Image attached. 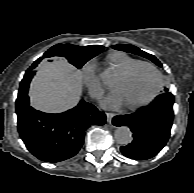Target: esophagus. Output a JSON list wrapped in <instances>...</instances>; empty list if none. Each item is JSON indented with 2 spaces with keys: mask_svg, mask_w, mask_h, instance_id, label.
Returning a JSON list of instances; mask_svg holds the SVG:
<instances>
[{
  "mask_svg": "<svg viewBox=\"0 0 194 193\" xmlns=\"http://www.w3.org/2000/svg\"><path fill=\"white\" fill-rule=\"evenodd\" d=\"M115 116L114 113H106V117H107V122L111 123L112 118Z\"/></svg>",
  "mask_w": 194,
  "mask_h": 193,
  "instance_id": "obj_1",
  "label": "esophagus"
}]
</instances>
